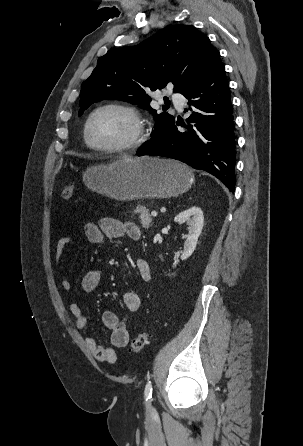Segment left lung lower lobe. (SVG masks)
<instances>
[{
    "label": "left lung lower lobe",
    "instance_id": "obj_1",
    "mask_svg": "<svg viewBox=\"0 0 303 446\" xmlns=\"http://www.w3.org/2000/svg\"><path fill=\"white\" fill-rule=\"evenodd\" d=\"M182 95L192 106L185 110L192 111L186 119L191 124H181L186 131H178L179 123L174 119L136 154L180 160L214 175L234 192L236 152L233 106L219 53L214 55L197 82Z\"/></svg>",
    "mask_w": 303,
    "mask_h": 446
}]
</instances>
